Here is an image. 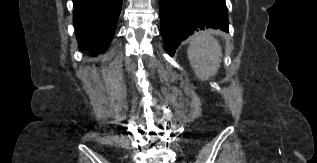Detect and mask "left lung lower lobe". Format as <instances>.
I'll return each instance as SVG.
<instances>
[{
  "mask_svg": "<svg viewBox=\"0 0 317 163\" xmlns=\"http://www.w3.org/2000/svg\"><path fill=\"white\" fill-rule=\"evenodd\" d=\"M160 18L161 34L170 56L195 31L219 28L229 32L225 0H161Z\"/></svg>",
  "mask_w": 317,
  "mask_h": 163,
  "instance_id": "0a47b994",
  "label": "left lung lower lobe"
}]
</instances>
